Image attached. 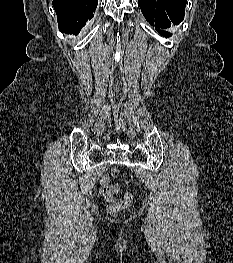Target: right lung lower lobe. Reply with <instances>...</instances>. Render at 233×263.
Wrapping results in <instances>:
<instances>
[{
    "instance_id": "right-lung-lower-lobe-1",
    "label": "right lung lower lobe",
    "mask_w": 233,
    "mask_h": 263,
    "mask_svg": "<svg viewBox=\"0 0 233 263\" xmlns=\"http://www.w3.org/2000/svg\"><path fill=\"white\" fill-rule=\"evenodd\" d=\"M97 4L98 0H53L59 30L77 35L93 17Z\"/></svg>"
}]
</instances>
